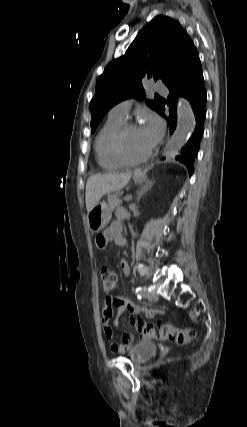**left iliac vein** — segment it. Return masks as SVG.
<instances>
[{"mask_svg":"<svg viewBox=\"0 0 247 427\" xmlns=\"http://www.w3.org/2000/svg\"><path fill=\"white\" fill-rule=\"evenodd\" d=\"M147 299H148L150 302H156V301L159 299V297H158V295H157V294H155V293H150V294H148Z\"/></svg>","mask_w":247,"mask_h":427,"instance_id":"obj_1","label":"left iliac vein"}]
</instances>
